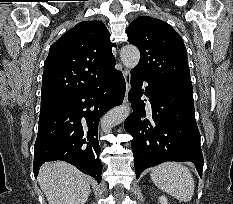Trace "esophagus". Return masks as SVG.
Segmentation results:
<instances>
[{"mask_svg": "<svg viewBox=\"0 0 233 204\" xmlns=\"http://www.w3.org/2000/svg\"><path fill=\"white\" fill-rule=\"evenodd\" d=\"M123 76H124V79H125V82H126V93H125V97H124V105H127L128 104V93H129V90H130V79H131V76H130V73L128 70H123Z\"/></svg>", "mask_w": 233, "mask_h": 204, "instance_id": "esophagus-1", "label": "esophagus"}]
</instances>
